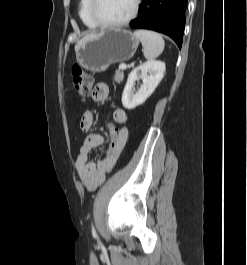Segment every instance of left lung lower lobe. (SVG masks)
<instances>
[{
	"mask_svg": "<svg viewBox=\"0 0 247 265\" xmlns=\"http://www.w3.org/2000/svg\"><path fill=\"white\" fill-rule=\"evenodd\" d=\"M188 0H142L140 13L130 26L158 31L182 46Z\"/></svg>",
	"mask_w": 247,
	"mask_h": 265,
	"instance_id": "obj_1",
	"label": "left lung lower lobe"
}]
</instances>
